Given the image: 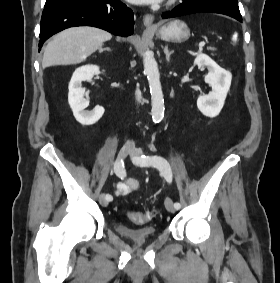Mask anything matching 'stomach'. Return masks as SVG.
I'll use <instances>...</instances> for the list:
<instances>
[{"instance_id":"0dacf381","label":"stomach","mask_w":280,"mask_h":283,"mask_svg":"<svg viewBox=\"0 0 280 283\" xmlns=\"http://www.w3.org/2000/svg\"><path fill=\"white\" fill-rule=\"evenodd\" d=\"M157 37L164 41L184 42L190 37V29L184 21L175 19L155 30Z\"/></svg>"}]
</instances>
